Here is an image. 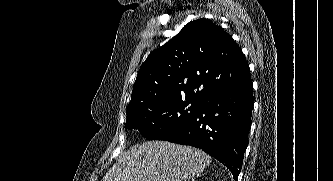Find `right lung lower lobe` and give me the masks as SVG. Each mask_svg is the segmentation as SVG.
I'll return each instance as SVG.
<instances>
[{"label": "right lung lower lobe", "instance_id": "obj_1", "mask_svg": "<svg viewBox=\"0 0 333 181\" xmlns=\"http://www.w3.org/2000/svg\"><path fill=\"white\" fill-rule=\"evenodd\" d=\"M253 104L251 79L213 92L200 101L192 119L167 141L202 149L224 164L236 180L248 146Z\"/></svg>", "mask_w": 333, "mask_h": 181}]
</instances>
